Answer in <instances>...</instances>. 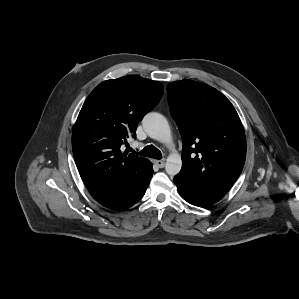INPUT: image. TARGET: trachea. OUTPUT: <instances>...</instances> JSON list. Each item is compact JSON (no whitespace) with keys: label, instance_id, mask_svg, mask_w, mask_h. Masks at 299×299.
<instances>
[{"label":"trachea","instance_id":"trachea-1","mask_svg":"<svg viewBox=\"0 0 299 299\" xmlns=\"http://www.w3.org/2000/svg\"><path fill=\"white\" fill-rule=\"evenodd\" d=\"M138 154L145 157H151L154 159H162V154L160 150L154 147L153 145L146 146L140 152H138Z\"/></svg>","mask_w":299,"mask_h":299}]
</instances>
